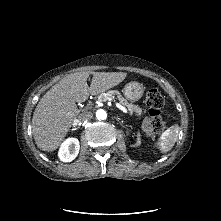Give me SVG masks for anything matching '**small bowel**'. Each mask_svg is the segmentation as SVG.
<instances>
[{"mask_svg":"<svg viewBox=\"0 0 221 221\" xmlns=\"http://www.w3.org/2000/svg\"><path fill=\"white\" fill-rule=\"evenodd\" d=\"M144 127H145L146 129L149 128V120H148V118H145V119H144Z\"/></svg>","mask_w":221,"mask_h":221,"instance_id":"obj_1","label":"small bowel"}]
</instances>
